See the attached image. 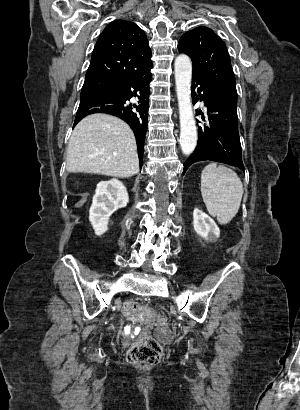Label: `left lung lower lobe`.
Segmentation results:
<instances>
[{
	"mask_svg": "<svg viewBox=\"0 0 300 410\" xmlns=\"http://www.w3.org/2000/svg\"><path fill=\"white\" fill-rule=\"evenodd\" d=\"M198 85L197 92L200 100L204 101L207 107L205 116L203 113L199 112V114L209 123L199 127L197 146L185 161L183 174L191 164L204 160L222 162L245 171L238 133L237 101L222 93L215 86L192 76L194 95Z\"/></svg>",
	"mask_w": 300,
	"mask_h": 410,
	"instance_id": "0a47b994",
	"label": "left lung lower lobe"
}]
</instances>
